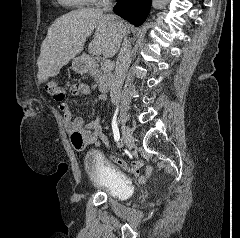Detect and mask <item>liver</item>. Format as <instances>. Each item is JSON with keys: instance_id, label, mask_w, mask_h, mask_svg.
<instances>
[{"instance_id": "liver-1", "label": "liver", "mask_w": 240, "mask_h": 238, "mask_svg": "<svg viewBox=\"0 0 240 238\" xmlns=\"http://www.w3.org/2000/svg\"><path fill=\"white\" fill-rule=\"evenodd\" d=\"M94 30L89 51L111 58L118 52L128 25L124 22L122 26L116 25L100 9L93 8L74 10L56 19L41 44L37 61L39 82L58 75L64 65L82 52Z\"/></svg>"}]
</instances>
